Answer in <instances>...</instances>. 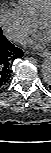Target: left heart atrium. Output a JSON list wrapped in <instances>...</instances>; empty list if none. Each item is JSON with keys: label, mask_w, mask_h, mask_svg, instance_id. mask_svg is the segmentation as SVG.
Instances as JSON below:
<instances>
[{"label": "left heart atrium", "mask_w": 51, "mask_h": 153, "mask_svg": "<svg viewBox=\"0 0 51 153\" xmlns=\"http://www.w3.org/2000/svg\"><path fill=\"white\" fill-rule=\"evenodd\" d=\"M47 41V36L45 34H41L39 37V42H45ZM30 43H33L32 41H30Z\"/></svg>", "instance_id": "left-heart-atrium-1"}]
</instances>
